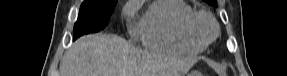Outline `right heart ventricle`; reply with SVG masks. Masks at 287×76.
I'll return each mask as SVG.
<instances>
[{"label": "right heart ventricle", "instance_id": "e07e8e85", "mask_svg": "<svg viewBox=\"0 0 287 76\" xmlns=\"http://www.w3.org/2000/svg\"><path fill=\"white\" fill-rule=\"evenodd\" d=\"M194 12L183 0H160L143 15L135 28L136 37L152 50L196 54L206 46L196 42L187 31V21Z\"/></svg>", "mask_w": 287, "mask_h": 76}]
</instances>
